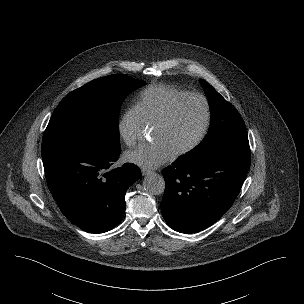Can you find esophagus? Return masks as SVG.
I'll list each match as a JSON object with an SVG mask.
<instances>
[{
	"instance_id": "obj_1",
	"label": "esophagus",
	"mask_w": 304,
	"mask_h": 304,
	"mask_svg": "<svg viewBox=\"0 0 304 304\" xmlns=\"http://www.w3.org/2000/svg\"><path fill=\"white\" fill-rule=\"evenodd\" d=\"M141 172H142V175H143V176H147V175H149V174L152 173L151 170H147V169H142Z\"/></svg>"
}]
</instances>
